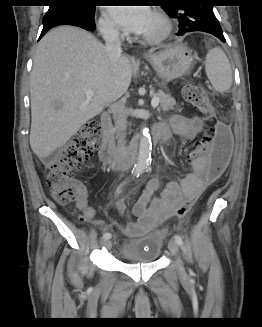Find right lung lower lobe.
<instances>
[{"label":"right lung lower lobe","instance_id":"98d812e1","mask_svg":"<svg viewBox=\"0 0 262 327\" xmlns=\"http://www.w3.org/2000/svg\"><path fill=\"white\" fill-rule=\"evenodd\" d=\"M59 25H73L88 31L95 29L94 16H86L74 11L52 10L43 18V29L41 39L51 28Z\"/></svg>","mask_w":262,"mask_h":327}]
</instances>
